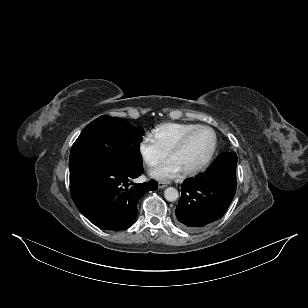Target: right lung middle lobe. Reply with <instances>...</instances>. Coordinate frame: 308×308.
<instances>
[{"label":"right lung middle lobe","instance_id":"dd1d6c3e","mask_svg":"<svg viewBox=\"0 0 308 308\" xmlns=\"http://www.w3.org/2000/svg\"><path fill=\"white\" fill-rule=\"evenodd\" d=\"M144 130L125 119L107 115L88 124L70 152L69 168L102 165L133 168L141 166L139 144Z\"/></svg>","mask_w":308,"mask_h":308}]
</instances>
